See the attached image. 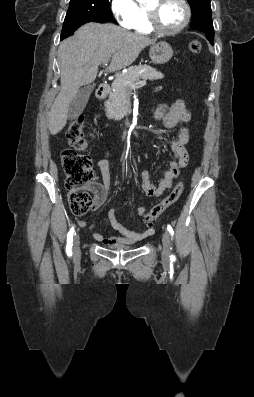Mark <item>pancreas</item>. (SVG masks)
<instances>
[{
  "label": "pancreas",
  "mask_w": 254,
  "mask_h": 397,
  "mask_svg": "<svg viewBox=\"0 0 254 397\" xmlns=\"http://www.w3.org/2000/svg\"><path fill=\"white\" fill-rule=\"evenodd\" d=\"M141 70L144 71L140 73ZM163 78L164 75L161 72L147 64L129 67L128 71L119 75L111 85L109 98L104 103L107 117L119 121L126 115L127 104L133 89L132 83H136L139 79L154 81Z\"/></svg>",
  "instance_id": "obj_1"
}]
</instances>
